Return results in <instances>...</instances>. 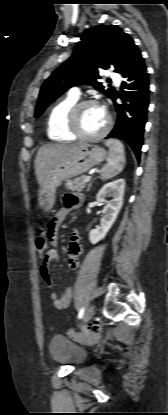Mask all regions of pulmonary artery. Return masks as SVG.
I'll list each match as a JSON object with an SVG mask.
<instances>
[{"label":"pulmonary artery","instance_id":"pulmonary-artery-1","mask_svg":"<svg viewBox=\"0 0 168 415\" xmlns=\"http://www.w3.org/2000/svg\"><path fill=\"white\" fill-rule=\"evenodd\" d=\"M111 79L114 81L115 84L119 85L120 83V76L117 73H110ZM69 96L78 99L80 97V90L77 87H74L70 90Z\"/></svg>","mask_w":168,"mask_h":415}]
</instances>
